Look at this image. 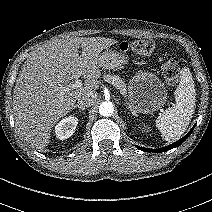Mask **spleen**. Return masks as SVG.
Masks as SVG:
<instances>
[{"instance_id":"spleen-1","label":"spleen","mask_w":212,"mask_h":212,"mask_svg":"<svg viewBox=\"0 0 212 212\" xmlns=\"http://www.w3.org/2000/svg\"><path fill=\"white\" fill-rule=\"evenodd\" d=\"M175 104L156 119V126L166 141H176L186 131L194 114L195 84L188 68H183L175 92Z\"/></svg>"}]
</instances>
